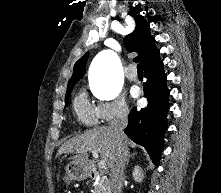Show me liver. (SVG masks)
Wrapping results in <instances>:
<instances>
[{
  "label": "liver",
  "mask_w": 221,
  "mask_h": 193,
  "mask_svg": "<svg viewBox=\"0 0 221 193\" xmlns=\"http://www.w3.org/2000/svg\"><path fill=\"white\" fill-rule=\"evenodd\" d=\"M127 137L124 135V143L127 144ZM96 150L100 154L109 167L113 155L115 153V135L112 128L102 126L88 130L81 135H78L66 141L58 150L57 155L64 153H73V162L85 164L88 159V151Z\"/></svg>",
  "instance_id": "obj_1"
}]
</instances>
